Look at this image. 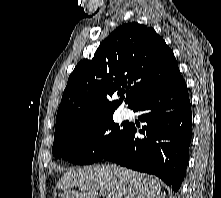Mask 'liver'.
Wrapping results in <instances>:
<instances>
[{"label":"liver","mask_w":221,"mask_h":198,"mask_svg":"<svg viewBox=\"0 0 221 198\" xmlns=\"http://www.w3.org/2000/svg\"><path fill=\"white\" fill-rule=\"evenodd\" d=\"M162 182L151 176L115 165L87 166L71 169L59 179L56 188L62 198H164ZM78 187L79 192L71 190Z\"/></svg>","instance_id":"obj_1"}]
</instances>
